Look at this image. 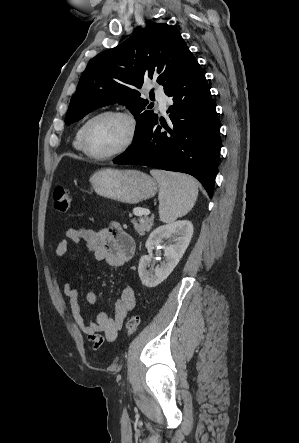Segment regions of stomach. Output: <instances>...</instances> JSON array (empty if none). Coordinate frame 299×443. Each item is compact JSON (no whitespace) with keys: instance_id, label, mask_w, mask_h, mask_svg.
Here are the masks:
<instances>
[{"instance_id":"obj_1","label":"stomach","mask_w":299,"mask_h":443,"mask_svg":"<svg viewBox=\"0 0 299 443\" xmlns=\"http://www.w3.org/2000/svg\"><path fill=\"white\" fill-rule=\"evenodd\" d=\"M97 194L128 204H137L153 197L157 181L138 170L102 169L90 177Z\"/></svg>"}]
</instances>
